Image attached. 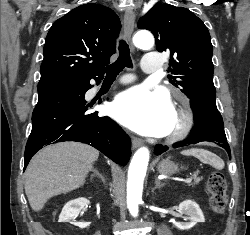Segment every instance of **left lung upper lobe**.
<instances>
[{
  "label": "left lung upper lobe",
  "instance_id": "1",
  "mask_svg": "<svg viewBox=\"0 0 250 235\" xmlns=\"http://www.w3.org/2000/svg\"><path fill=\"white\" fill-rule=\"evenodd\" d=\"M150 30L159 52L170 53V82L189 98L215 92L212 44L202 20L187 8L156 4L138 21Z\"/></svg>",
  "mask_w": 250,
  "mask_h": 235
}]
</instances>
